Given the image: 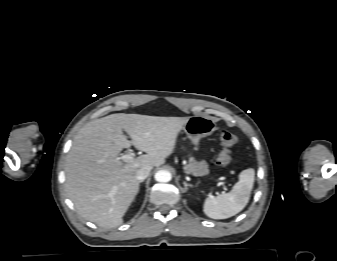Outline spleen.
I'll return each mask as SVG.
<instances>
[{"label":"spleen","instance_id":"obj_1","mask_svg":"<svg viewBox=\"0 0 337 261\" xmlns=\"http://www.w3.org/2000/svg\"><path fill=\"white\" fill-rule=\"evenodd\" d=\"M254 178L255 171L252 168L240 172L239 181L230 192L205 200L204 213L212 219H226L242 211L249 202Z\"/></svg>","mask_w":337,"mask_h":261}]
</instances>
